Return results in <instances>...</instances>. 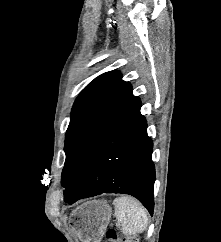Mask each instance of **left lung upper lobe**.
<instances>
[{
  "mask_svg": "<svg viewBox=\"0 0 221 242\" xmlns=\"http://www.w3.org/2000/svg\"><path fill=\"white\" fill-rule=\"evenodd\" d=\"M140 99L120 72H106L90 82L76 98L65 136L66 160L61 183L67 187L89 151Z\"/></svg>",
  "mask_w": 221,
  "mask_h": 242,
  "instance_id": "1",
  "label": "left lung upper lobe"
}]
</instances>
